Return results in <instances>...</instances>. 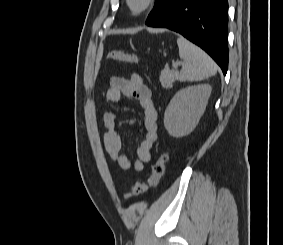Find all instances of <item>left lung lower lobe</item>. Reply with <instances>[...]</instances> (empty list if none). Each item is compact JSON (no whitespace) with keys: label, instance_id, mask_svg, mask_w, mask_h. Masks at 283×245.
Masks as SVG:
<instances>
[{"label":"left lung lower lobe","instance_id":"0a47b994","mask_svg":"<svg viewBox=\"0 0 283 245\" xmlns=\"http://www.w3.org/2000/svg\"><path fill=\"white\" fill-rule=\"evenodd\" d=\"M146 24L182 34L205 50L226 74L228 0H173L160 15Z\"/></svg>","mask_w":283,"mask_h":245}]
</instances>
